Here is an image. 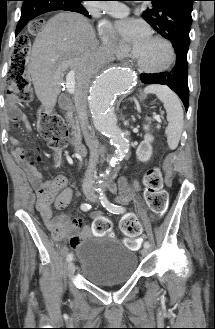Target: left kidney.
<instances>
[{"mask_svg":"<svg viewBox=\"0 0 215 329\" xmlns=\"http://www.w3.org/2000/svg\"><path fill=\"white\" fill-rule=\"evenodd\" d=\"M144 130L149 131V125H144ZM153 141V136L150 133H146L144 140L140 143L136 150V155L139 161L147 162L152 156V146L151 142Z\"/></svg>","mask_w":215,"mask_h":329,"instance_id":"obj_1","label":"left kidney"}]
</instances>
